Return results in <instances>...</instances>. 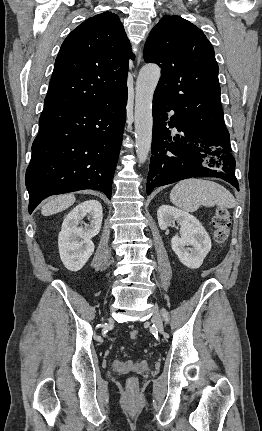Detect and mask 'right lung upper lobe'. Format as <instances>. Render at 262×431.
Masks as SVG:
<instances>
[{
	"label": "right lung upper lobe",
	"mask_w": 262,
	"mask_h": 431,
	"mask_svg": "<svg viewBox=\"0 0 262 431\" xmlns=\"http://www.w3.org/2000/svg\"><path fill=\"white\" fill-rule=\"evenodd\" d=\"M130 43L117 15L85 20L64 40L55 60L46 107L92 106L127 90Z\"/></svg>",
	"instance_id": "1"
}]
</instances>
